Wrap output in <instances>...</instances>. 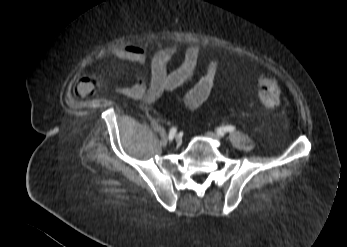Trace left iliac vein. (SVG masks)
<instances>
[{
	"label": "left iliac vein",
	"mask_w": 347,
	"mask_h": 247,
	"mask_svg": "<svg viewBox=\"0 0 347 247\" xmlns=\"http://www.w3.org/2000/svg\"><path fill=\"white\" fill-rule=\"evenodd\" d=\"M206 136L209 138H212L213 140H217V141H219L221 139V136L218 135L217 133H214V132H207Z\"/></svg>",
	"instance_id": "4c4485c4"
}]
</instances>
